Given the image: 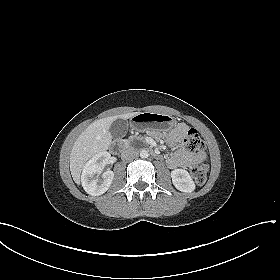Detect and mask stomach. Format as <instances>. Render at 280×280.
<instances>
[{
  "label": "stomach",
  "instance_id": "stomach-1",
  "mask_svg": "<svg viewBox=\"0 0 280 280\" xmlns=\"http://www.w3.org/2000/svg\"><path fill=\"white\" fill-rule=\"evenodd\" d=\"M175 124V119L167 114L142 112L132 117V126L135 129L151 126L159 131L168 132Z\"/></svg>",
  "mask_w": 280,
  "mask_h": 280
}]
</instances>
